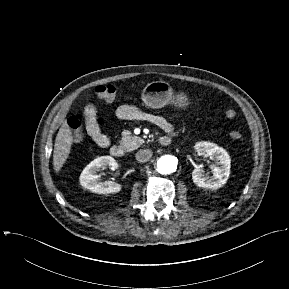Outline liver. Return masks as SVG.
<instances>
[{
  "label": "liver",
  "instance_id": "liver-1",
  "mask_svg": "<svg viewBox=\"0 0 289 289\" xmlns=\"http://www.w3.org/2000/svg\"><path fill=\"white\" fill-rule=\"evenodd\" d=\"M72 143V130L67 122H64L58 131L54 145L53 168L56 173L61 170L69 157Z\"/></svg>",
  "mask_w": 289,
  "mask_h": 289
}]
</instances>
